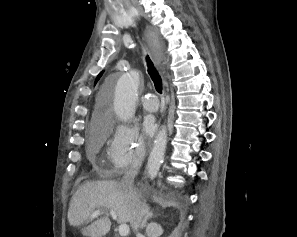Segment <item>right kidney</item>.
<instances>
[{"mask_svg":"<svg viewBox=\"0 0 297 237\" xmlns=\"http://www.w3.org/2000/svg\"><path fill=\"white\" fill-rule=\"evenodd\" d=\"M147 237H160L163 234L162 227L155 223L151 222L146 228Z\"/></svg>","mask_w":297,"mask_h":237,"instance_id":"right-kidney-1","label":"right kidney"}]
</instances>
